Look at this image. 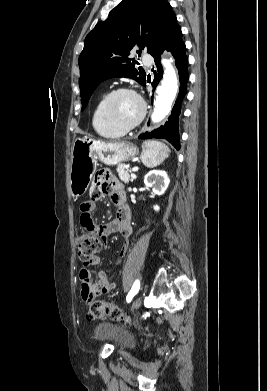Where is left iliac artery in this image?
<instances>
[{"label": "left iliac artery", "mask_w": 267, "mask_h": 391, "mask_svg": "<svg viewBox=\"0 0 267 391\" xmlns=\"http://www.w3.org/2000/svg\"><path fill=\"white\" fill-rule=\"evenodd\" d=\"M139 288H140V282L137 280L133 284L132 289L130 290V292L128 293V295L126 297V300L128 303L131 302L133 296L138 292Z\"/></svg>", "instance_id": "44dca946"}]
</instances>
